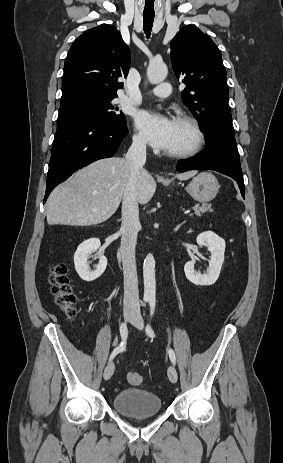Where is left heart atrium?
Returning a JSON list of instances; mask_svg holds the SVG:
<instances>
[{"instance_id": "obj_1", "label": "left heart atrium", "mask_w": 283, "mask_h": 463, "mask_svg": "<svg viewBox=\"0 0 283 463\" xmlns=\"http://www.w3.org/2000/svg\"><path fill=\"white\" fill-rule=\"evenodd\" d=\"M137 126L146 141L154 148L167 150L172 142L174 120L148 111L137 116Z\"/></svg>"}]
</instances>
